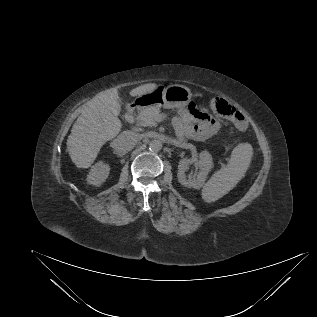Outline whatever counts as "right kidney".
<instances>
[{"label":"right kidney","mask_w":317,"mask_h":317,"mask_svg":"<svg viewBox=\"0 0 317 317\" xmlns=\"http://www.w3.org/2000/svg\"><path fill=\"white\" fill-rule=\"evenodd\" d=\"M109 171L110 166L108 164H105L102 161L97 162L92 166L87 176L88 183L94 186H100L108 177Z\"/></svg>","instance_id":"right-kidney-1"}]
</instances>
